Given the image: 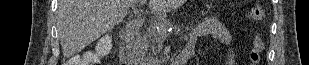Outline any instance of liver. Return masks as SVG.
Instances as JSON below:
<instances>
[{"instance_id":"6515ba94","label":"liver","mask_w":309,"mask_h":65,"mask_svg":"<svg viewBox=\"0 0 309 65\" xmlns=\"http://www.w3.org/2000/svg\"><path fill=\"white\" fill-rule=\"evenodd\" d=\"M135 0H59L57 30L64 57L79 53L123 21ZM185 0H149L154 13L168 12Z\"/></svg>"}]
</instances>
